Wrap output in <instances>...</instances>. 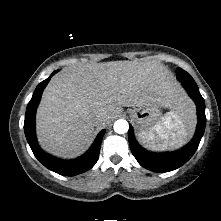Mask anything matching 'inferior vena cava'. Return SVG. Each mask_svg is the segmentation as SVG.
I'll return each mask as SVG.
<instances>
[{"label":"inferior vena cava","mask_w":221,"mask_h":221,"mask_svg":"<svg viewBox=\"0 0 221 221\" xmlns=\"http://www.w3.org/2000/svg\"><path fill=\"white\" fill-rule=\"evenodd\" d=\"M95 119L97 123H102L105 121V116L103 114H98Z\"/></svg>","instance_id":"1"}]
</instances>
